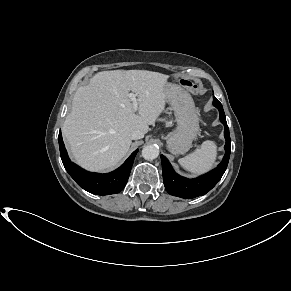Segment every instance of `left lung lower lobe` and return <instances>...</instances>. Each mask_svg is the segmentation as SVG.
<instances>
[{"label":"left lung lower lobe","mask_w":291,"mask_h":291,"mask_svg":"<svg viewBox=\"0 0 291 291\" xmlns=\"http://www.w3.org/2000/svg\"><path fill=\"white\" fill-rule=\"evenodd\" d=\"M213 105L219 110L220 121L225 127V156L216 169L196 179H187L178 175L172 169V166L167 158L161 155L164 186L167 192L173 196L189 199L206 194L217 184L227 168L231 152L229 128L222 104L215 97L213 100Z\"/></svg>","instance_id":"0a47b994"}]
</instances>
